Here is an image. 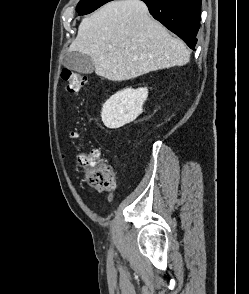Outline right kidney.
I'll return each mask as SVG.
<instances>
[{
	"label": "right kidney",
	"mask_w": 249,
	"mask_h": 294,
	"mask_svg": "<svg viewBox=\"0 0 249 294\" xmlns=\"http://www.w3.org/2000/svg\"><path fill=\"white\" fill-rule=\"evenodd\" d=\"M147 97V88H126L115 93L103 105L101 118L104 125L117 129L134 121L141 114Z\"/></svg>",
	"instance_id": "ca27d5eb"
}]
</instances>
